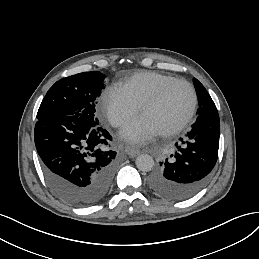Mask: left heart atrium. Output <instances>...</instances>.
I'll use <instances>...</instances> for the list:
<instances>
[{
  "mask_svg": "<svg viewBox=\"0 0 259 259\" xmlns=\"http://www.w3.org/2000/svg\"><path fill=\"white\" fill-rule=\"evenodd\" d=\"M121 136L128 141L142 144L158 133L146 127L141 119H135L127 123L120 132Z\"/></svg>",
  "mask_w": 259,
  "mask_h": 259,
  "instance_id": "obj_1",
  "label": "left heart atrium"
}]
</instances>
